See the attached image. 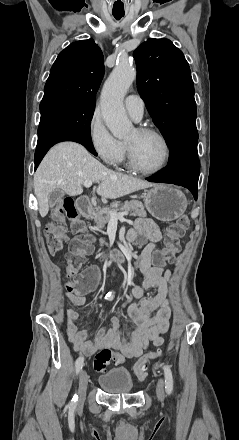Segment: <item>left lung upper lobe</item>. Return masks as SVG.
Masks as SVG:
<instances>
[{
	"label": "left lung upper lobe",
	"instance_id": "1",
	"mask_svg": "<svg viewBox=\"0 0 239 440\" xmlns=\"http://www.w3.org/2000/svg\"><path fill=\"white\" fill-rule=\"evenodd\" d=\"M137 88L169 147L197 132V109L189 65L168 39H148L135 51Z\"/></svg>",
	"mask_w": 239,
	"mask_h": 440
}]
</instances>
